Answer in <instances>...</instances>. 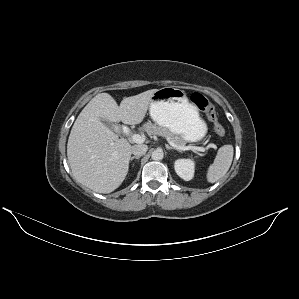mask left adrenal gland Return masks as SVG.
<instances>
[{
    "label": "left adrenal gland",
    "mask_w": 299,
    "mask_h": 299,
    "mask_svg": "<svg viewBox=\"0 0 299 299\" xmlns=\"http://www.w3.org/2000/svg\"><path fill=\"white\" fill-rule=\"evenodd\" d=\"M166 149H167V150H172V149H174V150H177L178 152H181L180 150L175 149V148H173V147H171V146H169V145H166Z\"/></svg>",
    "instance_id": "left-adrenal-gland-1"
}]
</instances>
